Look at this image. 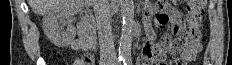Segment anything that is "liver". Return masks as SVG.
<instances>
[{"label": "liver", "instance_id": "1", "mask_svg": "<svg viewBox=\"0 0 232 65\" xmlns=\"http://www.w3.org/2000/svg\"><path fill=\"white\" fill-rule=\"evenodd\" d=\"M64 0H28V4L34 13L46 14L51 8L61 4Z\"/></svg>", "mask_w": 232, "mask_h": 65}]
</instances>
